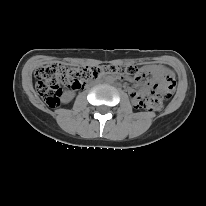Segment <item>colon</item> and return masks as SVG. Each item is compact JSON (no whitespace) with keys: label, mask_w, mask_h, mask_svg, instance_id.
I'll list each match as a JSON object with an SVG mask.
<instances>
[{"label":"colon","mask_w":206,"mask_h":206,"mask_svg":"<svg viewBox=\"0 0 206 206\" xmlns=\"http://www.w3.org/2000/svg\"><path fill=\"white\" fill-rule=\"evenodd\" d=\"M105 71L129 78H138L143 75L135 67L116 66L110 67ZM101 72H104V70L99 68H68L58 63L47 64L36 72V89L47 105L55 107L59 103V95L62 92V87L79 89L87 81L97 77ZM174 87L175 82L173 77L168 76L160 84L152 86L149 95H138L134 98V102L140 108L160 110L163 100L171 96Z\"/></svg>","instance_id":"1"}]
</instances>
